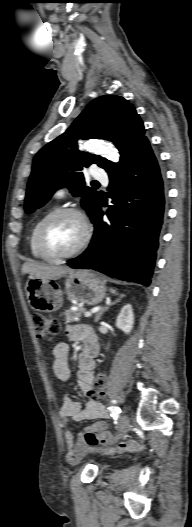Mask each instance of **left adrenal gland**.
I'll return each instance as SVG.
<instances>
[{
    "mask_svg": "<svg viewBox=\"0 0 192 527\" xmlns=\"http://www.w3.org/2000/svg\"><path fill=\"white\" fill-rule=\"evenodd\" d=\"M120 299H117L116 301L114 302H110L106 307L102 308L95 316V322H98L103 314V312L107 311L109 309L110 306L116 304L117 302H119Z\"/></svg>",
    "mask_w": 192,
    "mask_h": 527,
    "instance_id": "1",
    "label": "left adrenal gland"
}]
</instances>
